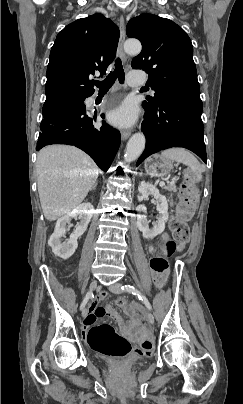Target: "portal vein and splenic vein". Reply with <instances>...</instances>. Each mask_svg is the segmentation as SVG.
Returning a JSON list of instances; mask_svg holds the SVG:
<instances>
[{"mask_svg": "<svg viewBox=\"0 0 243 404\" xmlns=\"http://www.w3.org/2000/svg\"><path fill=\"white\" fill-rule=\"evenodd\" d=\"M159 186H165L164 182H159Z\"/></svg>", "mask_w": 243, "mask_h": 404, "instance_id": "obj_1", "label": "portal vein and splenic vein"}]
</instances>
